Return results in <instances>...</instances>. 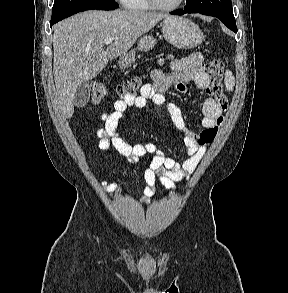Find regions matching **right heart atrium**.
<instances>
[{
    "instance_id": "d8ad5b80",
    "label": "right heart atrium",
    "mask_w": 288,
    "mask_h": 293,
    "mask_svg": "<svg viewBox=\"0 0 288 293\" xmlns=\"http://www.w3.org/2000/svg\"><path fill=\"white\" fill-rule=\"evenodd\" d=\"M119 2H121V3H124L125 2V0H118Z\"/></svg>"
}]
</instances>
